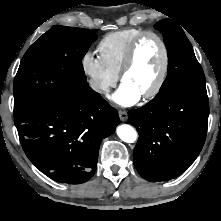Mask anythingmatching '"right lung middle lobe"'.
<instances>
[{
  "mask_svg": "<svg viewBox=\"0 0 221 221\" xmlns=\"http://www.w3.org/2000/svg\"><path fill=\"white\" fill-rule=\"evenodd\" d=\"M96 39L90 30L66 26H55L38 38L14 80V117L87 88L82 58Z\"/></svg>",
  "mask_w": 221,
  "mask_h": 221,
  "instance_id": "right-lung-middle-lobe-1",
  "label": "right lung middle lobe"
}]
</instances>
